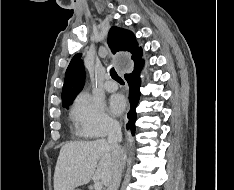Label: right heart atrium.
Listing matches in <instances>:
<instances>
[{"mask_svg":"<svg viewBox=\"0 0 234 190\" xmlns=\"http://www.w3.org/2000/svg\"><path fill=\"white\" fill-rule=\"evenodd\" d=\"M70 117L77 132L84 137H102L117 127L104 103L86 92L78 94L74 99Z\"/></svg>","mask_w":234,"mask_h":190,"instance_id":"obj_1","label":"right heart atrium"}]
</instances>
